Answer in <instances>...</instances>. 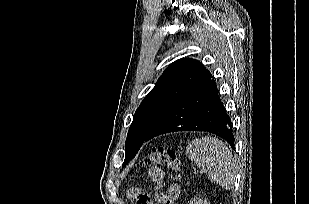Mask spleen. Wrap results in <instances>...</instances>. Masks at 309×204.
<instances>
[{
    "instance_id": "spleen-1",
    "label": "spleen",
    "mask_w": 309,
    "mask_h": 204,
    "mask_svg": "<svg viewBox=\"0 0 309 204\" xmlns=\"http://www.w3.org/2000/svg\"><path fill=\"white\" fill-rule=\"evenodd\" d=\"M186 154L197 165L206 169L208 180L224 189L233 187L236 169L229 148L214 137H202L188 143Z\"/></svg>"
}]
</instances>
